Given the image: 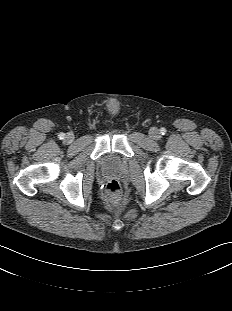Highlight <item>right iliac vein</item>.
Segmentation results:
<instances>
[{
  "label": "right iliac vein",
  "instance_id": "obj_1",
  "mask_svg": "<svg viewBox=\"0 0 232 311\" xmlns=\"http://www.w3.org/2000/svg\"><path fill=\"white\" fill-rule=\"evenodd\" d=\"M73 140H74V135H73V134L68 133V134L65 136V142H66V143H71V142H73Z\"/></svg>",
  "mask_w": 232,
  "mask_h": 311
}]
</instances>
